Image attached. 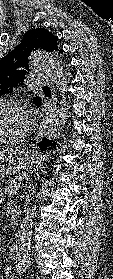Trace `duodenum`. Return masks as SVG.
I'll use <instances>...</instances> for the list:
<instances>
[{
  "mask_svg": "<svg viewBox=\"0 0 113 279\" xmlns=\"http://www.w3.org/2000/svg\"><path fill=\"white\" fill-rule=\"evenodd\" d=\"M20 218V209L14 208L11 212V221L13 224H16Z\"/></svg>",
  "mask_w": 113,
  "mask_h": 279,
  "instance_id": "duodenum-1",
  "label": "duodenum"
}]
</instances>
